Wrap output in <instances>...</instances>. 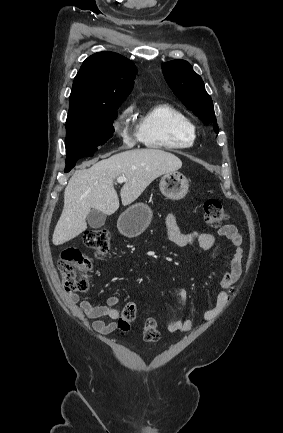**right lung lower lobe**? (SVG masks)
<instances>
[{
    "mask_svg": "<svg viewBox=\"0 0 283 433\" xmlns=\"http://www.w3.org/2000/svg\"><path fill=\"white\" fill-rule=\"evenodd\" d=\"M85 156H92V155H74V156L67 157L65 172H69L75 166L76 161Z\"/></svg>",
    "mask_w": 283,
    "mask_h": 433,
    "instance_id": "98d812e1",
    "label": "right lung lower lobe"
}]
</instances>
